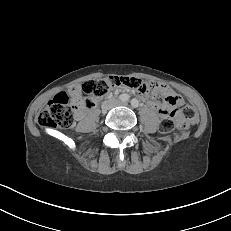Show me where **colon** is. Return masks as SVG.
<instances>
[{"label":"colon","mask_w":231,"mask_h":231,"mask_svg":"<svg viewBox=\"0 0 231 231\" xmlns=\"http://www.w3.org/2000/svg\"><path fill=\"white\" fill-rule=\"evenodd\" d=\"M117 86L125 87L142 95H153L156 86L131 76H107L98 80L86 81L81 86L82 98H70L65 92L58 93L40 113L38 123L45 129L69 128L74 123L77 110L94 106L95 100L104 97L108 91ZM196 111L190 105L169 110L161 122L165 133L175 129H187L196 118Z\"/></svg>","instance_id":"5ec220e1"}]
</instances>
